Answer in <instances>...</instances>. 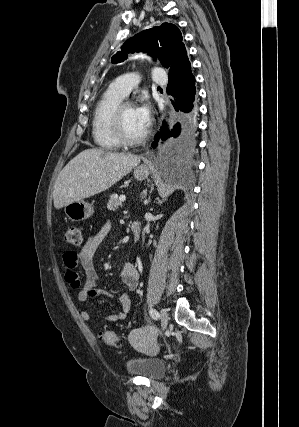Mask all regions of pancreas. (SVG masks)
<instances>
[{
	"label": "pancreas",
	"instance_id": "1",
	"mask_svg": "<svg viewBox=\"0 0 299 427\" xmlns=\"http://www.w3.org/2000/svg\"><path fill=\"white\" fill-rule=\"evenodd\" d=\"M122 204V201H120V199L118 198L117 194H112L110 196V199L107 203V208L109 210H115L117 209L120 205Z\"/></svg>",
	"mask_w": 299,
	"mask_h": 427
}]
</instances>
